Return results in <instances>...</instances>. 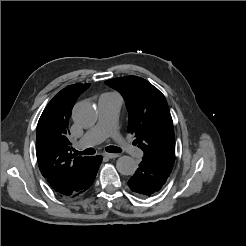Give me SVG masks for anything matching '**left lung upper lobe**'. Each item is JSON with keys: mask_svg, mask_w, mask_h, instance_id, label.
<instances>
[{"mask_svg": "<svg viewBox=\"0 0 246 246\" xmlns=\"http://www.w3.org/2000/svg\"><path fill=\"white\" fill-rule=\"evenodd\" d=\"M123 96L129 113L128 133L149 159L171 172L175 161L172 117L164 95L147 80L127 76L105 81Z\"/></svg>", "mask_w": 246, "mask_h": 246, "instance_id": "1", "label": "left lung upper lobe"}]
</instances>
